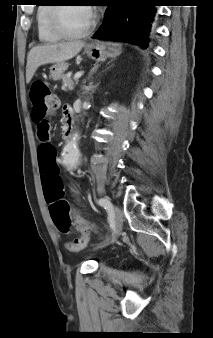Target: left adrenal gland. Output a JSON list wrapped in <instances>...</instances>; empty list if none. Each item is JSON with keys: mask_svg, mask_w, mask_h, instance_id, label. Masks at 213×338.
I'll use <instances>...</instances> for the list:
<instances>
[{"mask_svg": "<svg viewBox=\"0 0 213 338\" xmlns=\"http://www.w3.org/2000/svg\"><path fill=\"white\" fill-rule=\"evenodd\" d=\"M97 68H98V65H96V66L93 68V70H92L91 73H90V76L92 75V73H94V72L96 71Z\"/></svg>", "mask_w": 213, "mask_h": 338, "instance_id": "1", "label": "left adrenal gland"}]
</instances>
